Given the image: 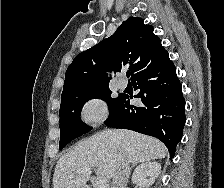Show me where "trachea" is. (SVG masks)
Here are the masks:
<instances>
[{
	"mask_svg": "<svg viewBox=\"0 0 224 188\" xmlns=\"http://www.w3.org/2000/svg\"><path fill=\"white\" fill-rule=\"evenodd\" d=\"M126 75H127V77L129 78V76H130V72L128 71V72L126 73Z\"/></svg>",
	"mask_w": 224,
	"mask_h": 188,
	"instance_id": "trachea-1",
	"label": "trachea"
}]
</instances>
